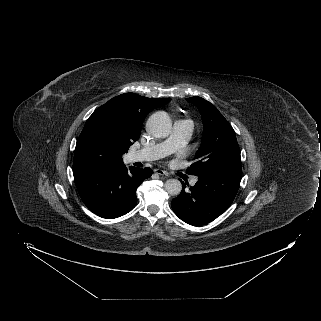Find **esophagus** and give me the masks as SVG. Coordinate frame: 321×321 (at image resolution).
Instances as JSON below:
<instances>
[{
  "label": "esophagus",
  "instance_id": "34e87169",
  "mask_svg": "<svg viewBox=\"0 0 321 321\" xmlns=\"http://www.w3.org/2000/svg\"><path fill=\"white\" fill-rule=\"evenodd\" d=\"M154 172L158 175L167 176L168 173L162 169H154Z\"/></svg>",
  "mask_w": 321,
  "mask_h": 321
}]
</instances>
